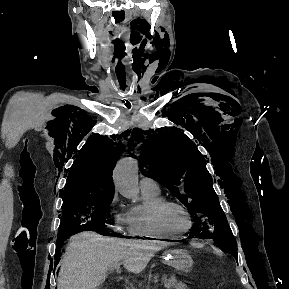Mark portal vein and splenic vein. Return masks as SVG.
<instances>
[{"label": "portal vein and splenic vein", "instance_id": "portal-vein-and-splenic-vein-1", "mask_svg": "<svg viewBox=\"0 0 289 289\" xmlns=\"http://www.w3.org/2000/svg\"><path fill=\"white\" fill-rule=\"evenodd\" d=\"M119 266H120L119 264H115V265H114V268L118 271V270H119ZM164 286H165L167 289L170 288V286H169L168 284H165Z\"/></svg>", "mask_w": 289, "mask_h": 289}]
</instances>
